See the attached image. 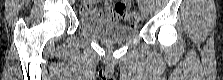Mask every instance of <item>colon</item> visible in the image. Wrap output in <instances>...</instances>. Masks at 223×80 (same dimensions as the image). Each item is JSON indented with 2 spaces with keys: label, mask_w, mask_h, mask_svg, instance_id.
<instances>
[{
  "label": "colon",
  "mask_w": 223,
  "mask_h": 80,
  "mask_svg": "<svg viewBox=\"0 0 223 80\" xmlns=\"http://www.w3.org/2000/svg\"><path fill=\"white\" fill-rule=\"evenodd\" d=\"M115 11L121 16L123 21L131 26L140 24L142 18L139 12L130 10L127 1H119L115 4Z\"/></svg>",
  "instance_id": "colon-1"
}]
</instances>
